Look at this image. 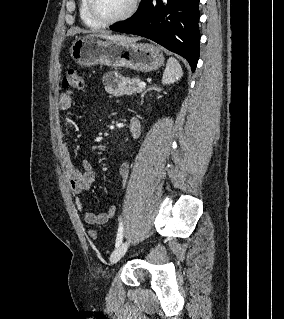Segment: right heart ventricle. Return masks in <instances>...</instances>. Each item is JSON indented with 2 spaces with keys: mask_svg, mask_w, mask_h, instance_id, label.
Returning a JSON list of instances; mask_svg holds the SVG:
<instances>
[{
  "mask_svg": "<svg viewBox=\"0 0 284 319\" xmlns=\"http://www.w3.org/2000/svg\"><path fill=\"white\" fill-rule=\"evenodd\" d=\"M88 0H79V16L82 21V23L93 30L101 29L104 26L95 21L88 11Z\"/></svg>",
  "mask_w": 284,
  "mask_h": 319,
  "instance_id": "right-heart-ventricle-1",
  "label": "right heart ventricle"
}]
</instances>
